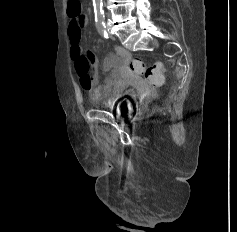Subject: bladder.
I'll return each instance as SVG.
<instances>
[{
	"mask_svg": "<svg viewBox=\"0 0 237 232\" xmlns=\"http://www.w3.org/2000/svg\"><path fill=\"white\" fill-rule=\"evenodd\" d=\"M133 94L132 91H128L126 98L120 99L114 104H106V107L112 109L118 116L128 115L134 109Z\"/></svg>",
	"mask_w": 237,
	"mask_h": 232,
	"instance_id": "31cf9c89",
	"label": "bladder"
}]
</instances>
